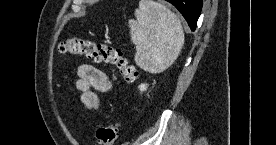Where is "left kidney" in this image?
I'll return each instance as SVG.
<instances>
[{"label":"left kidney","mask_w":276,"mask_h":145,"mask_svg":"<svg viewBox=\"0 0 276 145\" xmlns=\"http://www.w3.org/2000/svg\"><path fill=\"white\" fill-rule=\"evenodd\" d=\"M147 84H141L140 86H139V89H140V91L141 92H143V91H146L147 90Z\"/></svg>","instance_id":"5707ae66"}]
</instances>
